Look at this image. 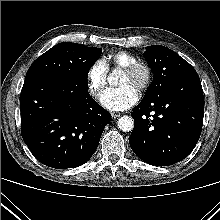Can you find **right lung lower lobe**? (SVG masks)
I'll return each instance as SVG.
<instances>
[{
  "instance_id": "obj_1",
  "label": "right lung lower lobe",
  "mask_w": 220,
  "mask_h": 220,
  "mask_svg": "<svg viewBox=\"0 0 220 220\" xmlns=\"http://www.w3.org/2000/svg\"><path fill=\"white\" fill-rule=\"evenodd\" d=\"M21 135L42 164L74 168L96 151L111 115L88 93L84 77L33 76L20 95Z\"/></svg>"
}]
</instances>
